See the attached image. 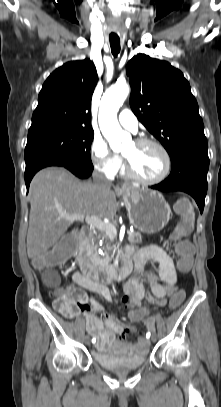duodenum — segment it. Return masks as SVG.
<instances>
[{"instance_id": "410a0bca", "label": "duodenum", "mask_w": 221, "mask_h": 407, "mask_svg": "<svg viewBox=\"0 0 221 407\" xmlns=\"http://www.w3.org/2000/svg\"><path fill=\"white\" fill-rule=\"evenodd\" d=\"M90 230L88 228H83L79 232V249L77 252L76 259L79 263L81 271L91 277L93 280L101 282V283H108L113 280H116L119 277L125 276L132 271V262L131 258L128 254L123 258L119 269H115L112 266L107 267H97L95 266L91 260L86 256L84 252V242L89 236Z\"/></svg>"}]
</instances>
